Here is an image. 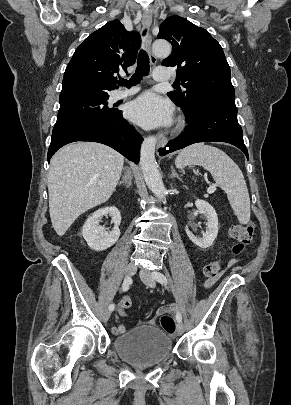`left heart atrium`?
I'll return each instance as SVG.
<instances>
[{"mask_svg":"<svg viewBox=\"0 0 291 405\" xmlns=\"http://www.w3.org/2000/svg\"><path fill=\"white\" fill-rule=\"evenodd\" d=\"M128 117L145 129L168 125L172 121L173 108L169 101L153 92H146L127 107Z\"/></svg>","mask_w":291,"mask_h":405,"instance_id":"left-heart-atrium-1","label":"left heart atrium"}]
</instances>
